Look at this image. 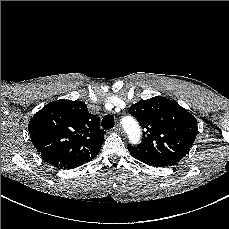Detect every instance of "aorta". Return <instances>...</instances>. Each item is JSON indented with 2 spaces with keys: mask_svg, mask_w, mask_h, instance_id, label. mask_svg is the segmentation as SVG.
Segmentation results:
<instances>
[{
  "mask_svg": "<svg viewBox=\"0 0 229 229\" xmlns=\"http://www.w3.org/2000/svg\"><path fill=\"white\" fill-rule=\"evenodd\" d=\"M123 124H129L128 137L131 143L136 144L140 141V129L136 121L130 117L123 119Z\"/></svg>",
  "mask_w": 229,
  "mask_h": 229,
  "instance_id": "1",
  "label": "aorta"
}]
</instances>
